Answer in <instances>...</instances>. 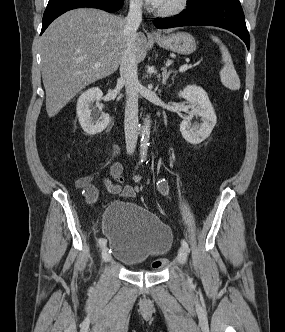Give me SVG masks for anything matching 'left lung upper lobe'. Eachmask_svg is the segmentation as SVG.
<instances>
[{
	"label": "left lung upper lobe",
	"mask_w": 285,
	"mask_h": 332,
	"mask_svg": "<svg viewBox=\"0 0 285 332\" xmlns=\"http://www.w3.org/2000/svg\"><path fill=\"white\" fill-rule=\"evenodd\" d=\"M203 1H206V0H188L187 1V7H190V6H193V5H196L198 3H201Z\"/></svg>",
	"instance_id": "5c2ea615"
}]
</instances>
